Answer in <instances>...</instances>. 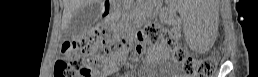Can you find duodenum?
Here are the masks:
<instances>
[{
  "mask_svg": "<svg viewBox=\"0 0 258 77\" xmlns=\"http://www.w3.org/2000/svg\"><path fill=\"white\" fill-rule=\"evenodd\" d=\"M107 2V6H105L104 8H103V12H104V16H106V17H108L109 16V14H110V7H109V5H108V3H112V2H110V1H106Z\"/></svg>",
  "mask_w": 258,
  "mask_h": 77,
  "instance_id": "duodenum-1",
  "label": "duodenum"
}]
</instances>
